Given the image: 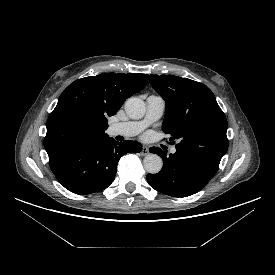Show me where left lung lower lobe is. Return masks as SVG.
<instances>
[{
	"mask_svg": "<svg viewBox=\"0 0 275 275\" xmlns=\"http://www.w3.org/2000/svg\"><path fill=\"white\" fill-rule=\"evenodd\" d=\"M163 160L157 174H148L147 181L155 190L173 197H187L199 192L216 174L218 167L193 154L176 150L167 157L158 147L149 149Z\"/></svg>",
	"mask_w": 275,
	"mask_h": 275,
	"instance_id": "0a47b994",
	"label": "left lung lower lobe"
}]
</instances>
